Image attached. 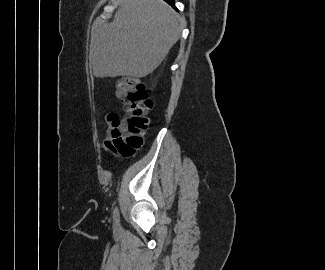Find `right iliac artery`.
Instances as JSON below:
<instances>
[{
	"mask_svg": "<svg viewBox=\"0 0 325 270\" xmlns=\"http://www.w3.org/2000/svg\"><path fill=\"white\" fill-rule=\"evenodd\" d=\"M113 219L115 223H118L120 218H119V210L118 208H115L113 211Z\"/></svg>",
	"mask_w": 325,
	"mask_h": 270,
	"instance_id": "1",
	"label": "right iliac artery"
}]
</instances>
